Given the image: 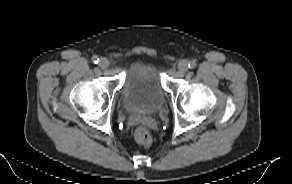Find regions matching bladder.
<instances>
[{"label":"bladder","instance_id":"31cf9c89","mask_svg":"<svg viewBox=\"0 0 292 184\" xmlns=\"http://www.w3.org/2000/svg\"><path fill=\"white\" fill-rule=\"evenodd\" d=\"M165 97L162 76L154 64L139 60L127 70L120 99L128 112H154Z\"/></svg>","mask_w":292,"mask_h":184}]
</instances>
